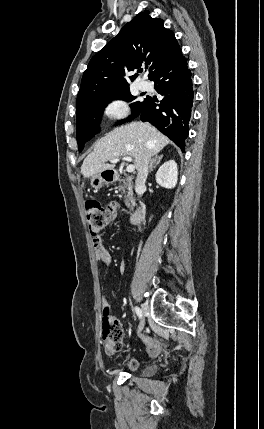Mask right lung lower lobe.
Segmentation results:
<instances>
[{"label": "right lung lower lobe", "mask_w": 264, "mask_h": 429, "mask_svg": "<svg viewBox=\"0 0 264 429\" xmlns=\"http://www.w3.org/2000/svg\"><path fill=\"white\" fill-rule=\"evenodd\" d=\"M150 80L155 82L156 91L164 97L160 102L149 97L138 115L142 121L150 122L168 136L184 152L194 94L191 71L181 50Z\"/></svg>", "instance_id": "1"}]
</instances>
